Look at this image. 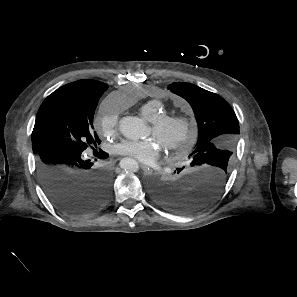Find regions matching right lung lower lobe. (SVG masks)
I'll return each mask as SVG.
<instances>
[{
  "instance_id": "obj_1",
  "label": "right lung lower lobe",
  "mask_w": 297,
  "mask_h": 297,
  "mask_svg": "<svg viewBox=\"0 0 297 297\" xmlns=\"http://www.w3.org/2000/svg\"><path fill=\"white\" fill-rule=\"evenodd\" d=\"M36 168L49 200L66 214L93 213L109 198L110 176L83 160L80 152L63 146L42 149L36 154Z\"/></svg>"
}]
</instances>
